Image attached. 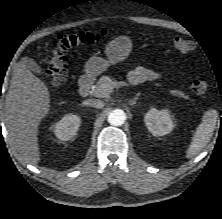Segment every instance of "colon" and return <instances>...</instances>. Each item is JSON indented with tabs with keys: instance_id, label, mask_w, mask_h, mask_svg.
<instances>
[{
	"instance_id": "5ec220e1",
	"label": "colon",
	"mask_w": 222,
	"mask_h": 219,
	"mask_svg": "<svg viewBox=\"0 0 222 219\" xmlns=\"http://www.w3.org/2000/svg\"><path fill=\"white\" fill-rule=\"evenodd\" d=\"M109 33L108 30H101L99 32H69L59 35L50 47L46 60V74L51 85L60 86L66 82L69 50L81 45H95L101 42ZM172 43L180 53H189L193 49L192 42L181 37H174ZM191 88L196 94L204 95L208 91L209 84L204 78L197 77L191 81Z\"/></svg>"
}]
</instances>
